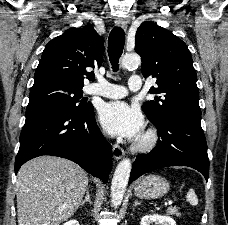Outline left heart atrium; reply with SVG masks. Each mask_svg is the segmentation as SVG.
Instances as JSON below:
<instances>
[{
    "instance_id": "left-heart-atrium-1",
    "label": "left heart atrium",
    "mask_w": 228,
    "mask_h": 225,
    "mask_svg": "<svg viewBox=\"0 0 228 225\" xmlns=\"http://www.w3.org/2000/svg\"><path fill=\"white\" fill-rule=\"evenodd\" d=\"M99 119L104 130L111 136L136 140L143 130L142 115L125 102L105 104L100 110Z\"/></svg>"
}]
</instances>
